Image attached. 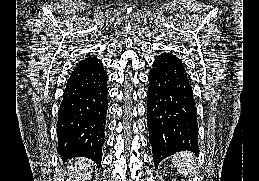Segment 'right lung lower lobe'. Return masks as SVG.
Returning <instances> with one entry per match:
<instances>
[{
    "label": "right lung lower lobe",
    "instance_id": "98d812e1",
    "mask_svg": "<svg viewBox=\"0 0 259 181\" xmlns=\"http://www.w3.org/2000/svg\"><path fill=\"white\" fill-rule=\"evenodd\" d=\"M108 76L96 57L80 61L71 73L58 111V153L86 157L100 166L106 123Z\"/></svg>",
    "mask_w": 259,
    "mask_h": 181
}]
</instances>
